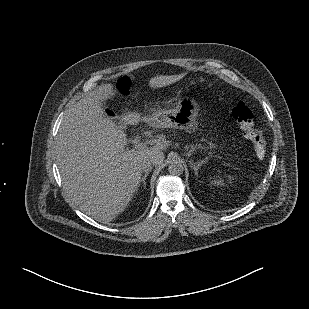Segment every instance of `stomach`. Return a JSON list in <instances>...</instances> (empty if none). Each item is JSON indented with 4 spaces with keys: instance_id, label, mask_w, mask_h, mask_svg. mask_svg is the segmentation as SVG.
<instances>
[{
    "instance_id": "obj_1",
    "label": "stomach",
    "mask_w": 309,
    "mask_h": 309,
    "mask_svg": "<svg viewBox=\"0 0 309 309\" xmlns=\"http://www.w3.org/2000/svg\"><path fill=\"white\" fill-rule=\"evenodd\" d=\"M200 107L191 99L179 100L176 107L159 116L163 127H186L194 124L199 116Z\"/></svg>"
}]
</instances>
